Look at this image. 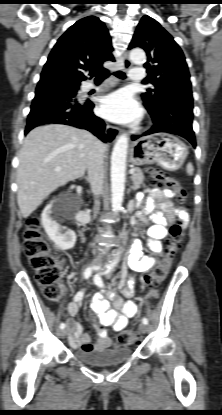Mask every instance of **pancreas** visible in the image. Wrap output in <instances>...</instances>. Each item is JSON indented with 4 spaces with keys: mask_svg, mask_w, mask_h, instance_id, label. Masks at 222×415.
<instances>
[{
    "mask_svg": "<svg viewBox=\"0 0 222 415\" xmlns=\"http://www.w3.org/2000/svg\"><path fill=\"white\" fill-rule=\"evenodd\" d=\"M134 170H135V172L131 176L132 181H133V187L132 188L134 190H137L143 184L144 174H143L142 170L138 167L134 168Z\"/></svg>",
    "mask_w": 222,
    "mask_h": 415,
    "instance_id": "1",
    "label": "pancreas"
}]
</instances>
